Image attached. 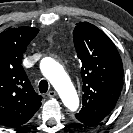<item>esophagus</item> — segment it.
<instances>
[{"instance_id":"obj_1","label":"esophagus","mask_w":133,"mask_h":133,"mask_svg":"<svg viewBox=\"0 0 133 133\" xmlns=\"http://www.w3.org/2000/svg\"><path fill=\"white\" fill-rule=\"evenodd\" d=\"M57 95V93L55 92V91H53V90H51V91H49L48 93H47V96L49 97V98H53V97H55Z\"/></svg>"}]
</instances>
